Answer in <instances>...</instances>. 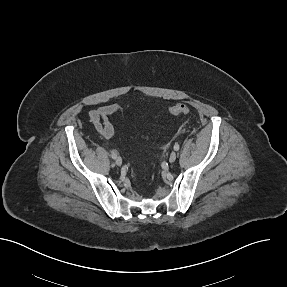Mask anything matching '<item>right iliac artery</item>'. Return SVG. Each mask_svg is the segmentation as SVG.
<instances>
[{
  "label": "right iliac artery",
  "mask_w": 287,
  "mask_h": 287,
  "mask_svg": "<svg viewBox=\"0 0 287 287\" xmlns=\"http://www.w3.org/2000/svg\"><path fill=\"white\" fill-rule=\"evenodd\" d=\"M111 157H112L113 159H116V157H117V153H116V152H114V151H112V152H111Z\"/></svg>",
  "instance_id": "right-iliac-artery-1"
}]
</instances>
